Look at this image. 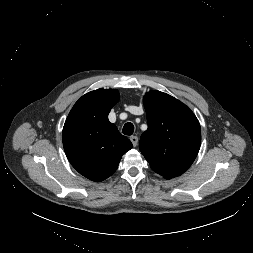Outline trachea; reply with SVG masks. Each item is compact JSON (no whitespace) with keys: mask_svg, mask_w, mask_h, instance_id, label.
<instances>
[{"mask_svg":"<svg viewBox=\"0 0 253 253\" xmlns=\"http://www.w3.org/2000/svg\"><path fill=\"white\" fill-rule=\"evenodd\" d=\"M122 131L124 135H132L134 132V125L131 122H128L124 125Z\"/></svg>","mask_w":253,"mask_h":253,"instance_id":"trachea-1","label":"trachea"}]
</instances>
